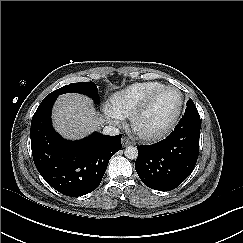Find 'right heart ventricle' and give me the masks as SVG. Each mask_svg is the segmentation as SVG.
Wrapping results in <instances>:
<instances>
[{
	"label": "right heart ventricle",
	"instance_id": "1",
	"mask_svg": "<svg viewBox=\"0 0 243 243\" xmlns=\"http://www.w3.org/2000/svg\"><path fill=\"white\" fill-rule=\"evenodd\" d=\"M164 86L159 81L133 83L112 95L110 99L111 108L119 116L129 117L152 93Z\"/></svg>",
	"mask_w": 243,
	"mask_h": 243
}]
</instances>
